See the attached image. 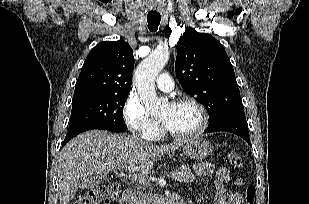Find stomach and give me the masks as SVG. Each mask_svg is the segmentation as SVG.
I'll use <instances>...</instances> for the list:
<instances>
[{
	"instance_id": "0dacf381",
	"label": "stomach",
	"mask_w": 309,
	"mask_h": 204,
	"mask_svg": "<svg viewBox=\"0 0 309 204\" xmlns=\"http://www.w3.org/2000/svg\"><path fill=\"white\" fill-rule=\"evenodd\" d=\"M183 150L188 157L195 160H203L212 153L213 147L206 139L193 137L186 142Z\"/></svg>"
}]
</instances>
